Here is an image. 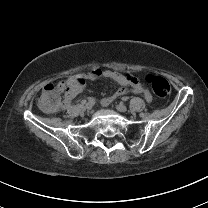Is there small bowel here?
Instances as JSON below:
<instances>
[{
	"instance_id": "small-bowel-1",
	"label": "small bowel",
	"mask_w": 208,
	"mask_h": 208,
	"mask_svg": "<svg viewBox=\"0 0 208 208\" xmlns=\"http://www.w3.org/2000/svg\"><path fill=\"white\" fill-rule=\"evenodd\" d=\"M103 76L104 78L115 81L117 84L121 86L119 90L114 92L113 94L105 96L101 104L103 107L109 106L114 100L124 95L128 89H131L135 93H140L144 96L146 101L151 102L152 96L150 92L142 86L137 79L130 74H122L113 70H102V69H94L90 72L71 75L67 77V79L71 82L72 92L71 95L63 100V108H67L72 104V99L80 92H82L85 88V83L88 80H94L99 76Z\"/></svg>"
}]
</instances>
